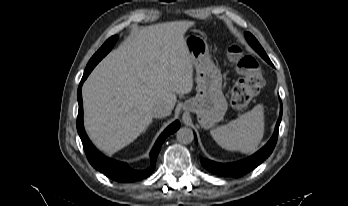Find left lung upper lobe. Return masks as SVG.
<instances>
[{
    "label": "left lung upper lobe",
    "mask_w": 348,
    "mask_h": 206,
    "mask_svg": "<svg viewBox=\"0 0 348 206\" xmlns=\"http://www.w3.org/2000/svg\"><path fill=\"white\" fill-rule=\"evenodd\" d=\"M245 36H246L247 41L259 53V55L264 60H266L269 64H272V62L270 61V59L268 58L267 54L265 53V51L263 50V48L261 47L259 42L256 40V38L252 34H250L248 32L245 33Z\"/></svg>",
    "instance_id": "obj_1"
}]
</instances>
